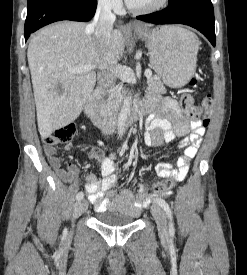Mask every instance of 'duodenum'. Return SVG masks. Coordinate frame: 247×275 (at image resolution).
I'll return each mask as SVG.
<instances>
[{"mask_svg": "<svg viewBox=\"0 0 247 275\" xmlns=\"http://www.w3.org/2000/svg\"><path fill=\"white\" fill-rule=\"evenodd\" d=\"M103 96V90L99 89L95 91L86 102L85 114L105 132H117L119 130L118 125L115 123L111 114L105 109L102 104ZM142 114V108L137 105L134 106L127 117L126 125H131L138 122L142 117Z\"/></svg>", "mask_w": 247, "mask_h": 275, "instance_id": "1", "label": "duodenum"}]
</instances>
